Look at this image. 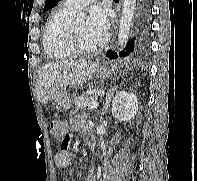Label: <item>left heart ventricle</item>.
<instances>
[{
  "mask_svg": "<svg viewBox=\"0 0 197 181\" xmlns=\"http://www.w3.org/2000/svg\"><path fill=\"white\" fill-rule=\"evenodd\" d=\"M74 25L77 37L84 47L92 48L100 43V41L89 32L86 21H78Z\"/></svg>",
  "mask_w": 197,
  "mask_h": 181,
  "instance_id": "b2bd125f",
  "label": "left heart ventricle"
}]
</instances>
